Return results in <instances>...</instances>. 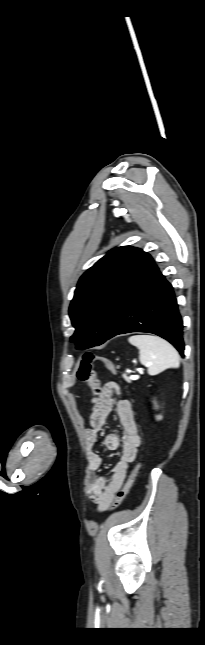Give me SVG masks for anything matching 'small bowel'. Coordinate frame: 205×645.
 Instances as JSON below:
<instances>
[{"mask_svg": "<svg viewBox=\"0 0 205 645\" xmlns=\"http://www.w3.org/2000/svg\"><path fill=\"white\" fill-rule=\"evenodd\" d=\"M115 411L123 428L122 435L109 434L104 438L108 450L122 447L119 461L107 475H98L103 464V458L94 450L98 441V433L104 427L108 416ZM86 455L88 460L89 499L94 502L99 511H105L111 505L116 493L121 489L129 468L135 460L142 439L130 401L107 384L96 401L90 416V427L84 431Z\"/></svg>", "mask_w": 205, "mask_h": 645, "instance_id": "c3829d8e", "label": "small bowel"}]
</instances>
